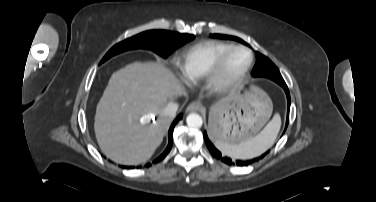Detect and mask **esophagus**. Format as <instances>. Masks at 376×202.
<instances>
[{"instance_id": "34e87169", "label": "esophagus", "mask_w": 376, "mask_h": 202, "mask_svg": "<svg viewBox=\"0 0 376 202\" xmlns=\"http://www.w3.org/2000/svg\"><path fill=\"white\" fill-rule=\"evenodd\" d=\"M202 105L197 102H192L187 107V112H193V111H201Z\"/></svg>"}]
</instances>
